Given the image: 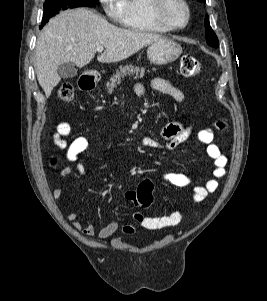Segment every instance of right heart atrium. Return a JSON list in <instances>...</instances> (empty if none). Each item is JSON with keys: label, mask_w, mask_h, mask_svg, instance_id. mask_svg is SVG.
I'll use <instances>...</instances> for the list:
<instances>
[{"label": "right heart atrium", "mask_w": 267, "mask_h": 301, "mask_svg": "<svg viewBox=\"0 0 267 301\" xmlns=\"http://www.w3.org/2000/svg\"><path fill=\"white\" fill-rule=\"evenodd\" d=\"M103 11L115 23H123L125 11L124 0H99Z\"/></svg>", "instance_id": "right-heart-atrium-1"}]
</instances>
